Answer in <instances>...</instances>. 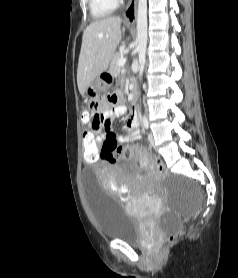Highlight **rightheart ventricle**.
<instances>
[{
	"mask_svg": "<svg viewBox=\"0 0 238 278\" xmlns=\"http://www.w3.org/2000/svg\"><path fill=\"white\" fill-rule=\"evenodd\" d=\"M118 0H89V9L95 19L109 16L117 7Z\"/></svg>",
	"mask_w": 238,
	"mask_h": 278,
	"instance_id": "right-heart-ventricle-1",
	"label": "right heart ventricle"
}]
</instances>
